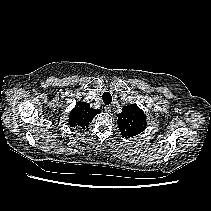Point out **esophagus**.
Returning a JSON list of instances; mask_svg holds the SVG:
<instances>
[{
    "mask_svg": "<svg viewBox=\"0 0 211 211\" xmlns=\"http://www.w3.org/2000/svg\"><path fill=\"white\" fill-rule=\"evenodd\" d=\"M105 112L110 113L111 112V106L107 105L104 107Z\"/></svg>",
    "mask_w": 211,
    "mask_h": 211,
    "instance_id": "esophagus-1",
    "label": "esophagus"
}]
</instances>
